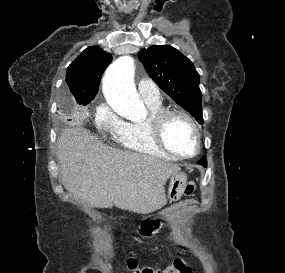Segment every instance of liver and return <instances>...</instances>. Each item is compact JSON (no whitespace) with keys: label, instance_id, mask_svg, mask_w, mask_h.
Masks as SVG:
<instances>
[{"label":"liver","instance_id":"liver-1","mask_svg":"<svg viewBox=\"0 0 285 273\" xmlns=\"http://www.w3.org/2000/svg\"><path fill=\"white\" fill-rule=\"evenodd\" d=\"M57 148L64 188L96 208L154 212L166 203L167 179L180 171L154 156L112 148L82 127L65 129Z\"/></svg>","mask_w":285,"mask_h":273}]
</instances>
